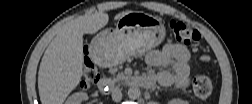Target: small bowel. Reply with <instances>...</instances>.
Wrapping results in <instances>:
<instances>
[{
	"instance_id": "1",
	"label": "small bowel",
	"mask_w": 252,
	"mask_h": 104,
	"mask_svg": "<svg viewBox=\"0 0 252 104\" xmlns=\"http://www.w3.org/2000/svg\"><path fill=\"white\" fill-rule=\"evenodd\" d=\"M190 52L182 44L168 43L160 50L147 54L146 62L152 67H170L157 74L151 75L160 85L185 88L189 85L192 76Z\"/></svg>"
}]
</instances>
